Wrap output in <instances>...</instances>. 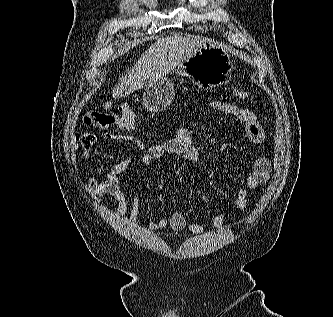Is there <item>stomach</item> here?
I'll list each match as a JSON object with an SVG mask.
<instances>
[{"mask_svg":"<svg viewBox=\"0 0 333 317\" xmlns=\"http://www.w3.org/2000/svg\"><path fill=\"white\" fill-rule=\"evenodd\" d=\"M233 70L231 56L224 47L207 41L189 59L174 70L203 89L214 88L226 81ZM175 95L173 83L165 78L150 81L143 93V105L152 112L163 111Z\"/></svg>","mask_w":333,"mask_h":317,"instance_id":"obj_1","label":"stomach"}]
</instances>
